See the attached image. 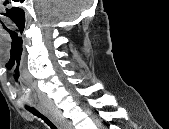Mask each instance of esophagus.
<instances>
[{
  "instance_id": "34e87169",
  "label": "esophagus",
  "mask_w": 169,
  "mask_h": 129,
  "mask_svg": "<svg viewBox=\"0 0 169 129\" xmlns=\"http://www.w3.org/2000/svg\"><path fill=\"white\" fill-rule=\"evenodd\" d=\"M35 108L53 122L51 115L41 105L37 104Z\"/></svg>"
}]
</instances>
